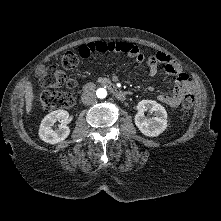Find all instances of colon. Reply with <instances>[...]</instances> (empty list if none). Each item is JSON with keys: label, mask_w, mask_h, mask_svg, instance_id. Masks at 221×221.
<instances>
[{"label": "colon", "mask_w": 221, "mask_h": 221, "mask_svg": "<svg viewBox=\"0 0 221 221\" xmlns=\"http://www.w3.org/2000/svg\"><path fill=\"white\" fill-rule=\"evenodd\" d=\"M80 61V55L68 51L64 54L61 60L64 69L75 68ZM40 83L44 88H59L66 87L68 91H44L37 96V100L41 107L46 111L55 109L70 108L76 101L74 92L76 83L75 80L66 76L65 73L56 66H48L42 70ZM193 105L192 97H187L182 102V110L188 112Z\"/></svg>", "instance_id": "colon-1"}]
</instances>
